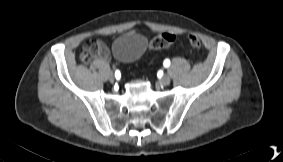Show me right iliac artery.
Here are the masks:
<instances>
[{
    "mask_svg": "<svg viewBox=\"0 0 283 162\" xmlns=\"http://www.w3.org/2000/svg\"><path fill=\"white\" fill-rule=\"evenodd\" d=\"M121 74V71L120 70H117L116 71V80H119L120 79V75Z\"/></svg>",
    "mask_w": 283,
    "mask_h": 162,
    "instance_id": "82829eb1",
    "label": "right iliac artery"
}]
</instances>
